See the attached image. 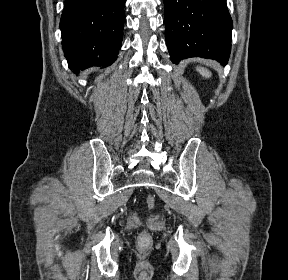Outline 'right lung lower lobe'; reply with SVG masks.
Masks as SVG:
<instances>
[{
    "mask_svg": "<svg viewBox=\"0 0 288 280\" xmlns=\"http://www.w3.org/2000/svg\"><path fill=\"white\" fill-rule=\"evenodd\" d=\"M124 5L125 0H65L60 29L71 70L114 63L121 48Z\"/></svg>",
    "mask_w": 288,
    "mask_h": 280,
    "instance_id": "obj_1",
    "label": "right lung lower lobe"
}]
</instances>
